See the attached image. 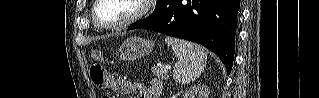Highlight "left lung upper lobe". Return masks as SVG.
<instances>
[{
    "label": "left lung upper lobe",
    "mask_w": 319,
    "mask_h": 98,
    "mask_svg": "<svg viewBox=\"0 0 319 98\" xmlns=\"http://www.w3.org/2000/svg\"><path fill=\"white\" fill-rule=\"evenodd\" d=\"M165 0H157L155 11L146 19L134 23L135 25H148L158 20L163 14Z\"/></svg>",
    "instance_id": "5c2ea615"
}]
</instances>
